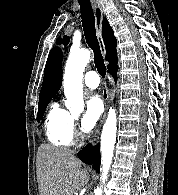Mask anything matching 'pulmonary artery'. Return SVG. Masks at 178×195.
<instances>
[{
    "label": "pulmonary artery",
    "instance_id": "pulmonary-artery-1",
    "mask_svg": "<svg viewBox=\"0 0 178 195\" xmlns=\"http://www.w3.org/2000/svg\"><path fill=\"white\" fill-rule=\"evenodd\" d=\"M83 82L86 87L96 89L100 84V77L95 71H89L85 74Z\"/></svg>",
    "mask_w": 178,
    "mask_h": 195
}]
</instances>
